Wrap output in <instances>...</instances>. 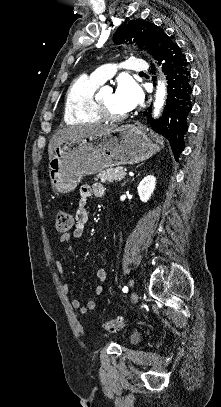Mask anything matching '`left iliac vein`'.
<instances>
[{"instance_id":"left-iliac-vein-1","label":"left iliac vein","mask_w":221,"mask_h":407,"mask_svg":"<svg viewBox=\"0 0 221 407\" xmlns=\"http://www.w3.org/2000/svg\"><path fill=\"white\" fill-rule=\"evenodd\" d=\"M138 300V294L136 292H133L131 295V301L133 304H135Z\"/></svg>"}]
</instances>
